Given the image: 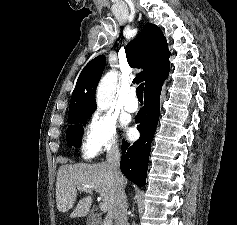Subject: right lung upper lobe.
<instances>
[{
    "mask_svg": "<svg viewBox=\"0 0 237 225\" xmlns=\"http://www.w3.org/2000/svg\"><path fill=\"white\" fill-rule=\"evenodd\" d=\"M126 57L130 67L143 68L134 82L145 81V91L164 81L169 74L168 44L160 28L154 24H146L139 36L127 44ZM105 65L106 58L100 55L83 68L71 96L69 112H94L95 89Z\"/></svg>",
    "mask_w": 237,
    "mask_h": 225,
    "instance_id": "1",
    "label": "right lung upper lobe"
}]
</instances>
